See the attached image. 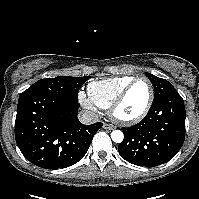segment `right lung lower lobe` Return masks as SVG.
I'll return each mask as SVG.
<instances>
[{
	"label": "right lung lower lobe",
	"instance_id": "98d812e1",
	"mask_svg": "<svg viewBox=\"0 0 199 199\" xmlns=\"http://www.w3.org/2000/svg\"><path fill=\"white\" fill-rule=\"evenodd\" d=\"M79 103L46 94L19 98L15 121L16 143L35 165L66 168L81 160L102 123L83 125Z\"/></svg>",
	"mask_w": 199,
	"mask_h": 199
}]
</instances>
